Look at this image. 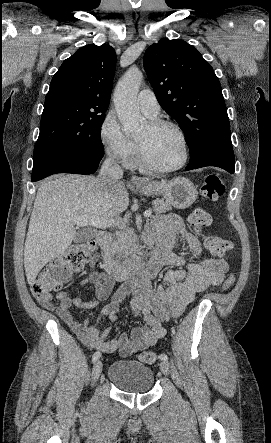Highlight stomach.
I'll return each mask as SVG.
<instances>
[{"mask_svg": "<svg viewBox=\"0 0 271 443\" xmlns=\"http://www.w3.org/2000/svg\"><path fill=\"white\" fill-rule=\"evenodd\" d=\"M141 182L144 186L135 188L137 192L143 196H159L160 194L177 210L189 208L198 196L194 184L187 178H173L170 182H150V180H141Z\"/></svg>", "mask_w": 271, "mask_h": 443, "instance_id": "0dacf381", "label": "stomach"}]
</instances>
